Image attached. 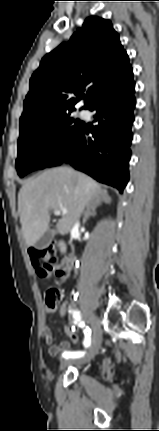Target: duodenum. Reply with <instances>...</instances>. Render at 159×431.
Listing matches in <instances>:
<instances>
[{
  "instance_id": "1",
  "label": "duodenum",
  "mask_w": 159,
  "mask_h": 431,
  "mask_svg": "<svg viewBox=\"0 0 159 431\" xmlns=\"http://www.w3.org/2000/svg\"><path fill=\"white\" fill-rule=\"evenodd\" d=\"M60 248H61L62 250H65V246H64V244H63V243H60ZM66 259L70 260V261H71V263H72V265H73V259H72V257H71L70 255H67Z\"/></svg>"
}]
</instances>
